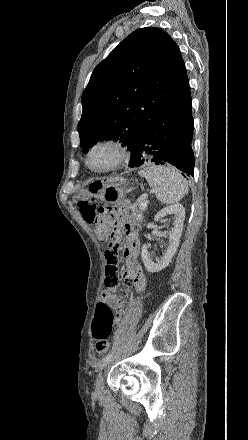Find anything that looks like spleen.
<instances>
[{
	"mask_svg": "<svg viewBox=\"0 0 248 440\" xmlns=\"http://www.w3.org/2000/svg\"><path fill=\"white\" fill-rule=\"evenodd\" d=\"M163 204L179 202L187 193L188 185L182 175L172 167L150 165L139 171Z\"/></svg>",
	"mask_w": 248,
	"mask_h": 440,
	"instance_id": "3e777b00",
	"label": "spleen"
}]
</instances>
